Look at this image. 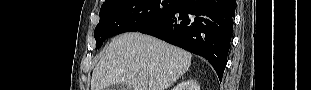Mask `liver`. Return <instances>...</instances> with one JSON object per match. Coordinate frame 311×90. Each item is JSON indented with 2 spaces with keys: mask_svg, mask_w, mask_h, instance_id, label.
I'll return each mask as SVG.
<instances>
[{
  "mask_svg": "<svg viewBox=\"0 0 311 90\" xmlns=\"http://www.w3.org/2000/svg\"><path fill=\"white\" fill-rule=\"evenodd\" d=\"M191 59L185 50L152 36L125 33L112 40L94 68L91 90L115 84L131 90H166L189 70Z\"/></svg>",
  "mask_w": 311,
  "mask_h": 90,
  "instance_id": "obj_1",
  "label": "liver"
}]
</instances>
